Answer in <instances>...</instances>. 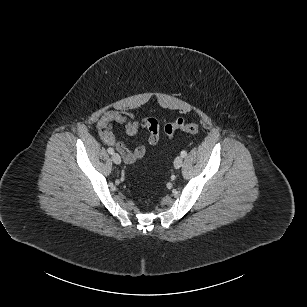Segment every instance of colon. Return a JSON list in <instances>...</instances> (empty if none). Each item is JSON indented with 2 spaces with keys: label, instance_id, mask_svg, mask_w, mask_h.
I'll use <instances>...</instances> for the list:
<instances>
[{
  "label": "colon",
  "instance_id": "obj_1",
  "mask_svg": "<svg viewBox=\"0 0 307 307\" xmlns=\"http://www.w3.org/2000/svg\"><path fill=\"white\" fill-rule=\"evenodd\" d=\"M177 130H182L190 134H197L199 126L195 123H188L182 119L175 120L165 127V134L168 138H172Z\"/></svg>",
  "mask_w": 307,
  "mask_h": 307
}]
</instances>
